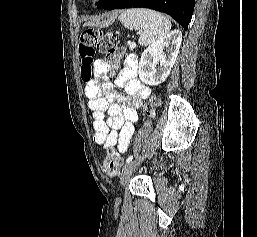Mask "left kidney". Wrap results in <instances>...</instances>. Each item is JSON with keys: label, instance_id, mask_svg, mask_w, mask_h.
<instances>
[{"label": "left kidney", "instance_id": "5707ae66", "mask_svg": "<svg viewBox=\"0 0 257 237\" xmlns=\"http://www.w3.org/2000/svg\"><path fill=\"white\" fill-rule=\"evenodd\" d=\"M182 33L174 30L147 47L141 55L138 74L140 80L150 86H157L169 76L178 56ZM166 48V53L163 51ZM160 67L157 69V65Z\"/></svg>", "mask_w": 257, "mask_h": 237}]
</instances>
